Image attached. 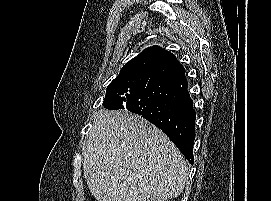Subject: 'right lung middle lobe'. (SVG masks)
Instances as JSON below:
<instances>
[{
    "mask_svg": "<svg viewBox=\"0 0 271 201\" xmlns=\"http://www.w3.org/2000/svg\"><path fill=\"white\" fill-rule=\"evenodd\" d=\"M150 78L149 70L120 73L108 85L103 106L110 110L119 109L125 98L143 92Z\"/></svg>",
    "mask_w": 271,
    "mask_h": 201,
    "instance_id": "dd1d6c3e",
    "label": "right lung middle lobe"
}]
</instances>
